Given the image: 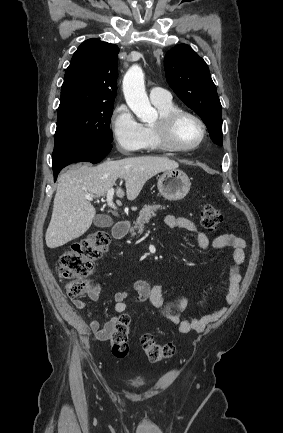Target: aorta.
Returning <instances> with one entry per match:
<instances>
[{
  "mask_svg": "<svg viewBox=\"0 0 283 433\" xmlns=\"http://www.w3.org/2000/svg\"><path fill=\"white\" fill-rule=\"evenodd\" d=\"M123 92L126 103L142 122H152L157 111L151 106L145 91L144 73L138 65L129 68L123 78Z\"/></svg>",
  "mask_w": 283,
  "mask_h": 433,
  "instance_id": "aorta-1",
  "label": "aorta"
}]
</instances>
